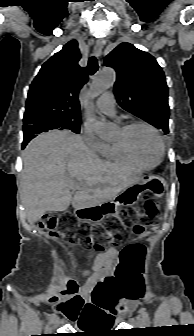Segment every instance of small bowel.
I'll list each match as a JSON object with an SVG mask.
<instances>
[{"mask_svg":"<svg viewBox=\"0 0 194 336\" xmlns=\"http://www.w3.org/2000/svg\"><path fill=\"white\" fill-rule=\"evenodd\" d=\"M120 255V251L112 247L95 257L93 273L80 289V294L86 299L85 308L78 319L80 328L83 329L89 323L116 319L115 307L122 290L114 273Z\"/></svg>","mask_w":194,"mask_h":336,"instance_id":"obj_1","label":"small bowel"}]
</instances>
